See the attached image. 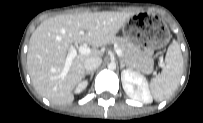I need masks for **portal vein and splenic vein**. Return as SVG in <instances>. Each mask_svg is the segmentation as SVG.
<instances>
[{
  "label": "portal vein and splenic vein",
  "instance_id": "1",
  "mask_svg": "<svg viewBox=\"0 0 203 123\" xmlns=\"http://www.w3.org/2000/svg\"><path fill=\"white\" fill-rule=\"evenodd\" d=\"M78 51L81 53V54H89L90 53V48L87 47L86 45H83V46H80L78 48ZM115 52L118 56H122V50L119 49V48H115ZM77 55V49L74 47V46H70L69 47V53L67 55V58H66V63H65V67H64V71L67 72L70 65H71V62L72 60L76 57Z\"/></svg>",
  "mask_w": 203,
  "mask_h": 123
}]
</instances>
